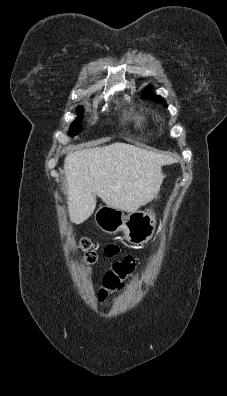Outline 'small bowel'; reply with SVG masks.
I'll list each match as a JSON object with an SVG mask.
<instances>
[{"mask_svg": "<svg viewBox=\"0 0 227 396\" xmlns=\"http://www.w3.org/2000/svg\"><path fill=\"white\" fill-rule=\"evenodd\" d=\"M105 252L107 255L111 256L113 254H116L118 252V247L115 245H110L105 249Z\"/></svg>", "mask_w": 227, "mask_h": 396, "instance_id": "small-bowel-1", "label": "small bowel"}]
</instances>
